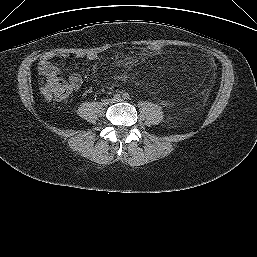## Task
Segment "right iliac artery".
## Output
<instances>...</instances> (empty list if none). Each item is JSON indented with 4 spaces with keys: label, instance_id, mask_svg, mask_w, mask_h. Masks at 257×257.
I'll use <instances>...</instances> for the list:
<instances>
[{
    "label": "right iliac artery",
    "instance_id": "obj_1",
    "mask_svg": "<svg viewBox=\"0 0 257 257\" xmlns=\"http://www.w3.org/2000/svg\"><path fill=\"white\" fill-rule=\"evenodd\" d=\"M115 100L120 98V94H115L113 97Z\"/></svg>",
    "mask_w": 257,
    "mask_h": 257
}]
</instances>
